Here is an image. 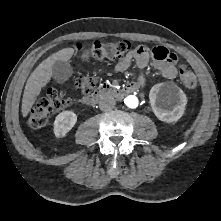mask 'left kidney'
I'll return each mask as SVG.
<instances>
[{"instance_id": "left-kidney-1", "label": "left kidney", "mask_w": 221, "mask_h": 221, "mask_svg": "<svg viewBox=\"0 0 221 221\" xmlns=\"http://www.w3.org/2000/svg\"><path fill=\"white\" fill-rule=\"evenodd\" d=\"M152 111L166 123L178 121L184 114L187 97L183 90L173 83L154 85L149 93Z\"/></svg>"}]
</instances>
